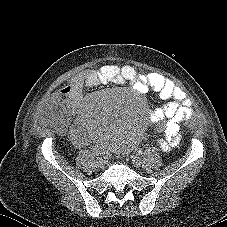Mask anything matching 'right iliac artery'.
Masks as SVG:
<instances>
[{
    "label": "right iliac artery",
    "mask_w": 227,
    "mask_h": 227,
    "mask_svg": "<svg viewBox=\"0 0 227 227\" xmlns=\"http://www.w3.org/2000/svg\"><path fill=\"white\" fill-rule=\"evenodd\" d=\"M96 155H97V156H102L103 153H102L101 151H97V152H96Z\"/></svg>",
    "instance_id": "obj_1"
}]
</instances>
